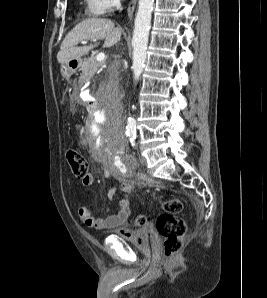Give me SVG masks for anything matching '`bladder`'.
I'll return each mask as SVG.
<instances>
[{"instance_id": "1", "label": "bladder", "mask_w": 267, "mask_h": 298, "mask_svg": "<svg viewBox=\"0 0 267 298\" xmlns=\"http://www.w3.org/2000/svg\"><path fill=\"white\" fill-rule=\"evenodd\" d=\"M118 236L142 250H149L157 242L155 231L150 225L133 230L128 236L122 234Z\"/></svg>"}]
</instances>
